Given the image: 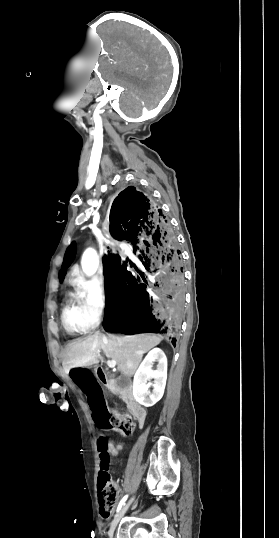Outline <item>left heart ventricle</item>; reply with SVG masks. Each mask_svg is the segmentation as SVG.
<instances>
[{
  "instance_id": "b2bd125f",
  "label": "left heart ventricle",
  "mask_w": 279,
  "mask_h": 538,
  "mask_svg": "<svg viewBox=\"0 0 279 538\" xmlns=\"http://www.w3.org/2000/svg\"><path fill=\"white\" fill-rule=\"evenodd\" d=\"M72 208H77V207H72ZM85 219V215H82L78 220H84Z\"/></svg>"
}]
</instances>
